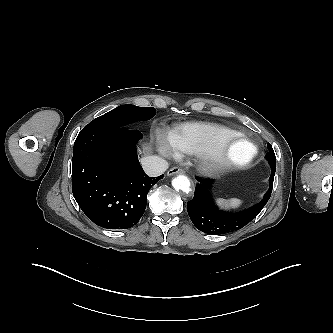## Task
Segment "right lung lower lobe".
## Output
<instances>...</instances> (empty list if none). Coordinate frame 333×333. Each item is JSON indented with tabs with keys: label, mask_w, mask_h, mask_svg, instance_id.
<instances>
[{
	"label": "right lung lower lobe",
	"mask_w": 333,
	"mask_h": 333,
	"mask_svg": "<svg viewBox=\"0 0 333 333\" xmlns=\"http://www.w3.org/2000/svg\"><path fill=\"white\" fill-rule=\"evenodd\" d=\"M139 130L85 126L74 143L72 191L79 207L107 229L136 225L146 208L149 189L164 175L149 177L137 156Z\"/></svg>",
	"instance_id": "right-lung-lower-lobe-1"
}]
</instances>
